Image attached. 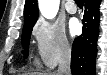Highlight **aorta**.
Instances as JSON below:
<instances>
[{
  "label": "aorta",
  "instance_id": "1",
  "mask_svg": "<svg viewBox=\"0 0 107 75\" xmlns=\"http://www.w3.org/2000/svg\"><path fill=\"white\" fill-rule=\"evenodd\" d=\"M60 0H39V9L47 19H52L57 15Z\"/></svg>",
  "mask_w": 107,
  "mask_h": 75
}]
</instances>
